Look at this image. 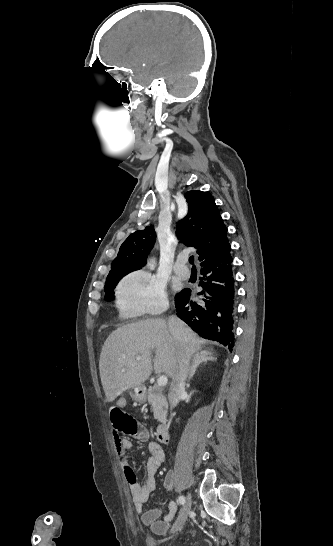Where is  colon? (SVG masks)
<instances>
[{
	"mask_svg": "<svg viewBox=\"0 0 333 546\" xmlns=\"http://www.w3.org/2000/svg\"><path fill=\"white\" fill-rule=\"evenodd\" d=\"M111 418L115 425L116 434H129L131 435L135 427L129 422V420L122 413V407L118 402H113L109 407Z\"/></svg>",
	"mask_w": 333,
	"mask_h": 546,
	"instance_id": "obj_1",
	"label": "colon"
}]
</instances>
